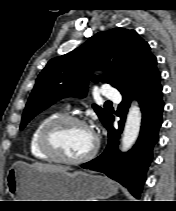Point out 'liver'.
Instances as JSON below:
<instances>
[{"instance_id": "obj_1", "label": "liver", "mask_w": 176, "mask_h": 211, "mask_svg": "<svg viewBox=\"0 0 176 211\" xmlns=\"http://www.w3.org/2000/svg\"><path fill=\"white\" fill-rule=\"evenodd\" d=\"M33 167L41 169V170H46V171H68L69 168L64 167V166H57V165H51V164H42V163H33Z\"/></svg>"}]
</instances>
